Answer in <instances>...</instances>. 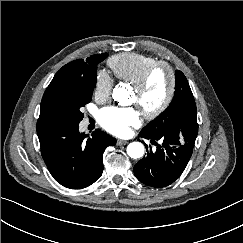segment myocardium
<instances>
[{"mask_svg": "<svg viewBox=\"0 0 243 243\" xmlns=\"http://www.w3.org/2000/svg\"><path fill=\"white\" fill-rule=\"evenodd\" d=\"M157 68H164L168 75V84L164 95L153 105L149 107L142 108V111L145 116H153L160 111H162L171 101L176 86V75L173 67L166 61H155L149 66H147L139 75V77L132 82V88L137 93H142L145 89L147 82Z\"/></svg>", "mask_w": 243, "mask_h": 243, "instance_id": "1", "label": "myocardium"}]
</instances>
